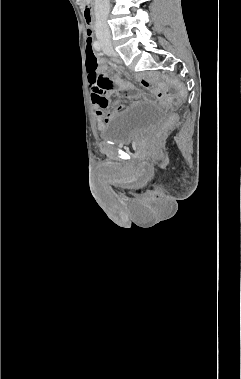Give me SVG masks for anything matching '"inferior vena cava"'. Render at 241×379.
<instances>
[{"mask_svg":"<svg viewBox=\"0 0 241 379\" xmlns=\"http://www.w3.org/2000/svg\"><path fill=\"white\" fill-rule=\"evenodd\" d=\"M109 9V0H95L96 35L98 38H103L108 41L111 39L110 30L107 25Z\"/></svg>","mask_w":241,"mask_h":379,"instance_id":"1","label":"inferior vena cava"}]
</instances>
